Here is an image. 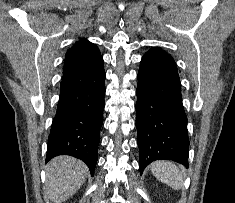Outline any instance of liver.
I'll list each match as a JSON object with an SVG mask.
<instances>
[{
	"label": "liver",
	"mask_w": 235,
	"mask_h": 203,
	"mask_svg": "<svg viewBox=\"0 0 235 203\" xmlns=\"http://www.w3.org/2000/svg\"><path fill=\"white\" fill-rule=\"evenodd\" d=\"M87 166L71 156H58L46 167V190L53 203L69 199L85 182Z\"/></svg>",
	"instance_id": "6515ba94"
}]
</instances>
